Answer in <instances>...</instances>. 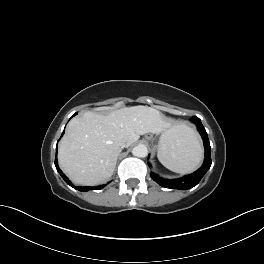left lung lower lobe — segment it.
Listing matches in <instances>:
<instances>
[{
    "label": "left lung lower lobe",
    "instance_id": "obj_1",
    "mask_svg": "<svg viewBox=\"0 0 264 264\" xmlns=\"http://www.w3.org/2000/svg\"><path fill=\"white\" fill-rule=\"evenodd\" d=\"M194 124H196L201 137L203 138L204 147H205V159L201 168L192 173L191 175H186L179 179H164L151 172V178L156 181L160 186L165 188L181 189L187 190L196 186L204 174L208 171L211 166V157H210V143L206 133L205 128L203 127L201 120L197 116H193L190 119Z\"/></svg>",
    "mask_w": 264,
    "mask_h": 264
}]
</instances>
